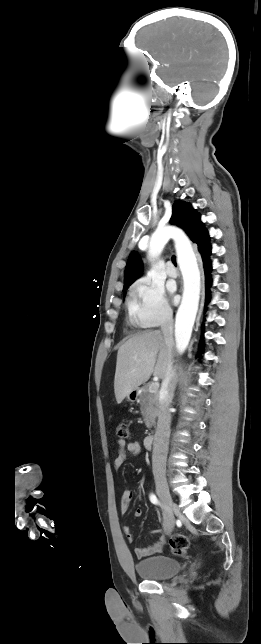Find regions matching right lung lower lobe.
<instances>
[{
    "label": "right lung lower lobe",
    "mask_w": 261,
    "mask_h": 644,
    "mask_svg": "<svg viewBox=\"0 0 261 644\" xmlns=\"http://www.w3.org/2000/svg\"><path fill=\"white\" fill-rule=\"evenodd\" d=\"M202 259H203V267H204L205 279H206L205 280L206 300L209 301V288L211 286L210 272H211L212 267H211V262H210L209 256H207L205 258H202ZM201 350H202V343H200V345H199L200 353H201Z\"/></svg>",
    "instance_id": "obj_1"
}]
</instances>
